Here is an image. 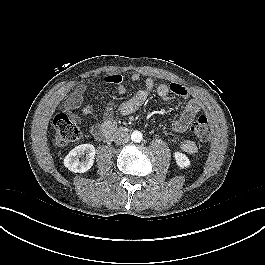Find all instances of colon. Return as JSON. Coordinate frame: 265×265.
<instances>
[{"label": "colon", "instance_id": "1", "mask_svg": "<svg viewBox=\"0 0 265 265\" xmlns=\"http://www.w3.org/2000/svg\"><path fill=\"white\" fill-rule=\"evenodd\" d=\"M191 132L202 142L209 138V121L205 115L198 114L191 124ZM54 142L57 146H67L81 136V127L67 114L60 113L54 119Z\"/></svg>", "mask_w": 265, "mask_h": 265}]
</instances>
